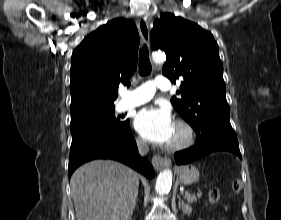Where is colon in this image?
I'll return each mask as SVG.
<instances>
[{
  "instance_id": "colon-1",
  "label": "colon",
  "mask_w": 281,
  "mask_h": 220,
  "mask_svg": "<svg viewBox=\"0 0 281 220\" xmlns=\"http://www.w3.org/2000/svg\"><path fill=\"white\" fill-rule=\"evenodd\" d=\"M233 191L238 194L241 191V184L239 181H234L233 183ZM220 198V191L218 188L210 189L206 194V201L210 204L216 203Z\"/></svg>"
}]
</instances>
